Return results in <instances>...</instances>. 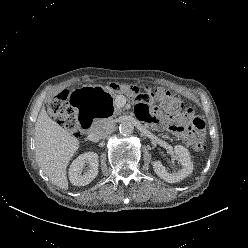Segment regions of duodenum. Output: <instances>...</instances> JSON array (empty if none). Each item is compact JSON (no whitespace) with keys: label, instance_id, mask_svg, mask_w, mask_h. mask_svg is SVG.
Returning <instances> with one entry per match:
<instances>
[{"label":"duodenum","instance_id":"obj_1","mask_svg":"<svg viewBox=\"0 0 248 248\" xmlns=\"http://www.w3.org/2000/svg\"><path fill=\"white\" fill-rule=\"evenodd\" d=\"M93 118L94 116L92 115L91 111L83 115L81 123L85 130L90 129Z\"/></svg>","mask_w":248,"mask_h":248}]
</instances>
